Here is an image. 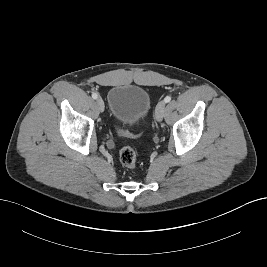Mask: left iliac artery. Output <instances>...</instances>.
<instances>
[{
  "instance_id": "1",
  "label": "left iliac artery",
  "mask_w": 267,
  "mask_h": 267,
  "mask_svg": "<svg viewBox=\"0 0 267 267\" xmlns=\"http://www.w3.org/2000/svg\"><path fill=\"white\" fill-rule=\"evenodd\" d=\"M170 101H171V97H170V96L165 97V99H164V102H165V103H168V102H170Z\"/></svg>"
}]
</instances>
